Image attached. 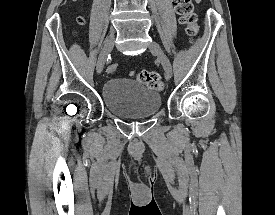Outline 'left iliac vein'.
I'll list each match as a JSON object with an SVG mask.
<instances>
[{"mask_svg": "<svg viewBox=\"0 0 275 215\" xmlns=\"http://www.w3.org/2000/svg\"><path fill=\"white\" fill-rule=\"evenodd\" d=\"M149 49H150L151 53H153L154 55H156L159 58L162 66H163V69L165 71L166 76L168 78H171L172 77V66H171L169 59L165 55V53L162 51L160 45L157 42L153 41V42H151Z\"/></svg>", "mask_w": 275, "mask_h": 215, "instance_id": "obj_1", "label": "left iliac vein"}]
</instances>
